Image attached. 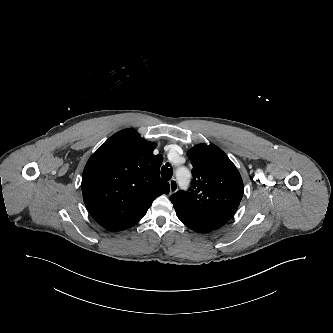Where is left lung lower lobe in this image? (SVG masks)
Wrapping results in <instances>:
<instances>
[{"instance_id": "1", "label": "left lung lower lobe", "mask_w": 333, "mask_h": 333, "mask_svg": "<svg viewBox=\"0 0 333 333\" xmlns=\"http://www.w3.org/2000/svg\"><path fill=\"white\" fill-rule=\"evenodd\" d=\"M173 205L178 218L190 229L199 233L220 228L229 221L238 208L235 202L198 206L175 202Z\"/></svg>"}]
</instances>
